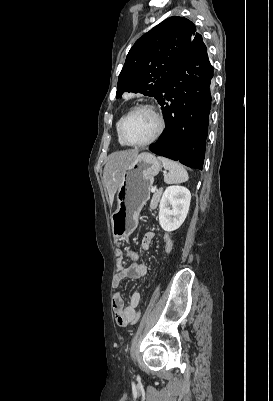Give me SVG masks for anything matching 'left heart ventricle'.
<instances>
[{"label":"left heart ventricle","mask_w":273,"mask_h":401,"mask_svg":"<svg viewBox=\"0 0 273 401\" xmlns=\"http://www.w3.org/2000/svg\"><path fill=\"white\" fill-rule=\"evenodd\" d=\"M158 128L156 118L145 111H140L128 118L123 128V136L129 142H142L151 138Z\"/></svg>","instance_id":"obj_1"}]
</instances>
